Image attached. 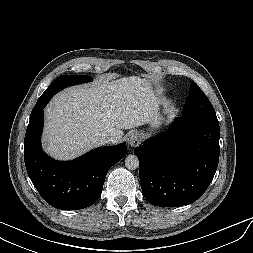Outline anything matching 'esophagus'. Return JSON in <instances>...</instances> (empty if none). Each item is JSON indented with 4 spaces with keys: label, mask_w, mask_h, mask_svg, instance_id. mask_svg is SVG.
Segmentation results:
<instances>
[{
    "label": "esophagus",
    "mask_w": 253,
    "mask_h": 253,
    "mask_svg": "<svg viewBox=\"0 0 253 253\" xmlns=\"http://www.w3.org/2000/svg\"><path fill=\"white\" fill-rule=\"evenodd\" d=\"M128 144L131 147H136L141 144V136L137 132H132L128 137Z\"/></svg>",
    "instance_id": "1"
}]
</instances>
